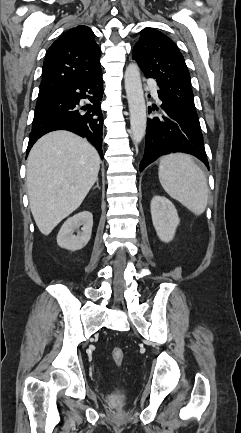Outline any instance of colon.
<instances>
[{"instance_id": "colon-1", "label": "colon", "mask_w": 241, "mask_h": 433, "mask_svg": "<svg viewBox=\"0 0 241 433\" xmlns=\"http://www.w3.org/2000/svg\"><path fill=\"white\" fill-rule=\"evenodd\" d=\"M112 358L116 364L121 365L124 360V352L119 347H114L112 349Z\"/></svg>"}]
</instances>
